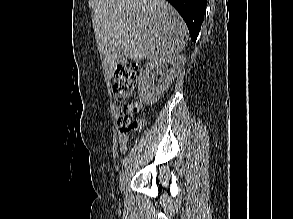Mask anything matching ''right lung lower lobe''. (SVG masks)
I'll list each match as a JSON object with an SVG mask.
<instances>
[{"label": "right lung lower lobe", "mask_w": 293, "mask_h": 219, "mask_svg": "<svg viewBox=\"0 0 293 219\" xmlns=\"http://www.w3.org/2000/svg\"><path fill=\"white\" fill-rule=\"evenodd\" d=\"M183 17L195 42L206 10V0H167Z\"/></svg>", "instance_id": "1"}]
</instances>
